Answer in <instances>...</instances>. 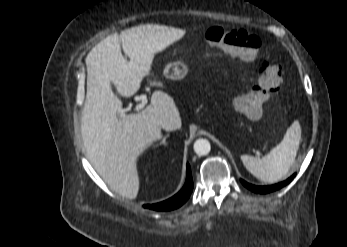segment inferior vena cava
<instances>
[{
	"label": "inferior vena cava",
	"mask_w": 347,
	"mask_h": 247,
	"mask_svg": "<svg viewBox=\"0 0 347 247\" xmlns=\"http://www.w3.org/2000/svg\"><path fill=\"white\" fill-rule=\"evenodd\" d=\"M160 127L166 131H173L175 129H177V124L175 122V120H173L172 118H164L163 120L160 121Z\"/></svg>",
	"instance_id": "inferior-vena-cava-1"
}]
</instances>
